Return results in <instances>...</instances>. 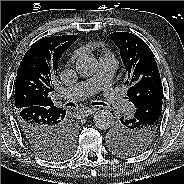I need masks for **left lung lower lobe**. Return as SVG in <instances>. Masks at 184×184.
<instances>
[{"label": "left lung lower lobe", "instance_id": "left-lung-lower-lobe-1", "mask_svg": "<svg viewBox=\"0 0 184 184\" xmlns=\"http://www.w3.org/2000/svg\"><path fill=\"white\" fill-rule=\"evenodd\" d=\"M161 111L162 98H153L139 105L133 118L138 123H147L151 121H148V119H153L156 114H160Z\"/></svg>", "mask_w": 184, "mask_h": 184}]
</instances>
